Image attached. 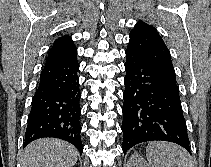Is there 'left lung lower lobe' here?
Listing matches in <instances>:
<instances>
[{
  "instance_id": "obj_1",
  "label": "left lung lower lobe",
  "mask_w": 211,
  "mask_h": 167,
  "mask_svg": "<svg viewBox=\"0 0 211 167\" xmlns=\"http://www.w3.org/2000/svg\"><path fill=\"white\" fill-rule=\"evenodd\" d=\"M124 65V154L154 140L179 144L191 153L177 82L140 54L126 51Z\"/></svg>"
}]
</instances>
